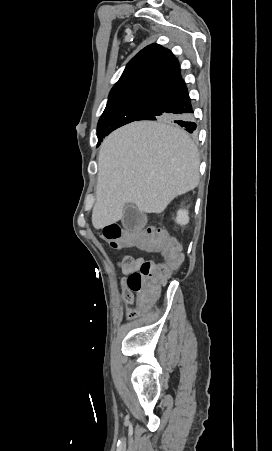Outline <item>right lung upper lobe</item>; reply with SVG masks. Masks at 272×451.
<instances>
[{
	"mask_svg": "<svg viewBox=\"0 0 272 451\" xmlns=\"http://www.w3.org/2000/svg\"><path fill=\"white\" fill-rule=\"evenodd\" d=\"M180 74L175 56L158 44L142 49L127 64L112 88L109 102L152 97L160 88Z\"/></svg>",
	"mask_w": 272,
	"mask_h": 451,
	"instance_id": "1",
	"label": "right lung upper lobe"
}]
</instances>
